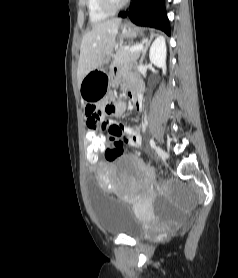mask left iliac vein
<instances>
[{
  "label": "left iliac vein",
  "instance_id": "left-iliac-vein-1",
  "mask_svg": "<svg viewBox=\"0 0 238 278\" xmlns=\"http://www.w3.org/2000/svg\"><path fill=\"white\" fill-rule=\"evenodd\" d=\"M156 152L158 154V156L162 159H167L168 158V154L159 146L156 147Z\"/></svg>",
  "mask_w": 238,
  "mask_h": 278
}]
</instances>
